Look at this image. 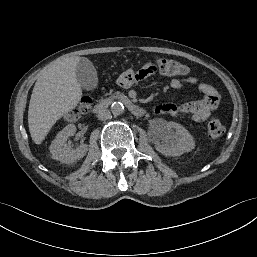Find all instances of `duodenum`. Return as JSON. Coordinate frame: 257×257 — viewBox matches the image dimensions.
<instances>
[{
    "mask_svg": "<svg viewBox=\"0 0 257 257\" xmlns=\"http://www.w3.org/2000/svg\"><path fill=\"white\" fill-rule=\"evenodd\" d=\"M114 101L122 102L134 116L142 117L145 115V110L142 107H140L138 104L134 103L128 97L121 95V94H115L110 98H105V99L101 100L100 102H98L96 104L94 110L96 112L104 110V109L108 108L110 106V104Z\"/></svg>",
    "mask_w": 257,
    "mask_h": 257,
    "instance_id": "obj_1",
    "label": "duodenum"
}]
</instances>
